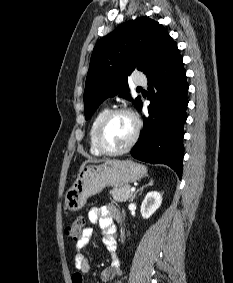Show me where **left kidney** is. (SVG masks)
Instances as JSON below:
<instances>
[{
  "mask_svg": "<svg viewBox=\"0 0 233 283\" xmlns=\"http://www.w3.org/2000/svg\"><path fill=\"white\" fill-rule=\"evenodd\" d=\"M162 196L156 191L149 192L141 205V215L144 219H148L161 205Z\"/></svg>",
  "mask_w": 233,
  "mask_h": 283,
  "instance_id": "obj_1",
  "label": "left kidney"
}]
</instances>
